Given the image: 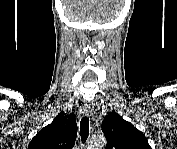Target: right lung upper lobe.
<instances>
[{"instance_id": "cb5924a9", "label": "right lung upper lobe", "mask_w": 177, "mask_h": 149, "mask_svg": "<svg viewBox=\"0 0 177 149\" xmlns=\"http://www.w3.org/2000/svg\"><path fill=\"white\" fill-rule=\"evenodd\" d=\"M77 135L74 114L59 113L51 124L39 131L31 140L28 149H71Z\"/></svg>"}]
</instances>
